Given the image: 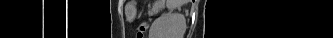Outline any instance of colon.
I'll use <instances>...</instances> for the list:
<instances>
[{
    "instance_id": "colon-1",
    "label": "colon",
    "mask_w": 333,
    "mask_h": 38,
    "mask_svg": "<svg viewBox=\"0 0 333 38\" xmlns=\"http://www.w3.org/2000/svg\"><path fill=\"white\" fill-rule=\"evenodd\" d=\"M147 25L146 23H142L139 28H138V32H137V38H143L144 37V33L146 31Z\"/></svg>"
}]
</instances>
